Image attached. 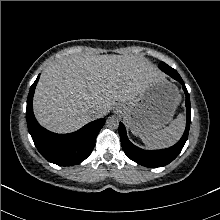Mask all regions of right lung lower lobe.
Listing matches in <instances>:
<instances>
[{"label":"right lung lower lobe","instance_id":"right-lung-lower-lobe-1","mask_svg":"<svg viewBox=\"0 0 220 220\" xmlns=\"http://www.w3.org/2000/svg\"><path fill=\"white\" fill-rule=\"evenodd\" d=\"M39 77L40 75L31 86L27 98L26 119L28 131L38 151L49 162L61 166L79 164L91 154L96 137L105 120H95L70 134H56L41 127L34 117L32 107L33 95Z\"/></svg>","mask_w":220,"mask_h":220}]
</instances>
